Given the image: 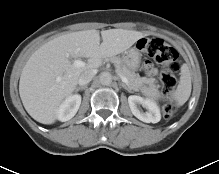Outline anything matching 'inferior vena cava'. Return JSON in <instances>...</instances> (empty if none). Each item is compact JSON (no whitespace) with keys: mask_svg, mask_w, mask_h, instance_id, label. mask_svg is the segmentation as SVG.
Listing matches in <instances>:
<instances>
[{"mask_svg":"<svg viewBox=\"0 0 219 174\" xmlns=\"http://www.w3.org/2000/svg\"><path fill=\"white\" fill-rule=\"evenodd\" d=\"M96 74V70H86L83 72L78 80L79 85L84 86L88 84Z\"/></svg>","mask_w":219,"mask_h":174,"instance_id":"obj_1","label":"inferior vena cava"}]
</instances>
